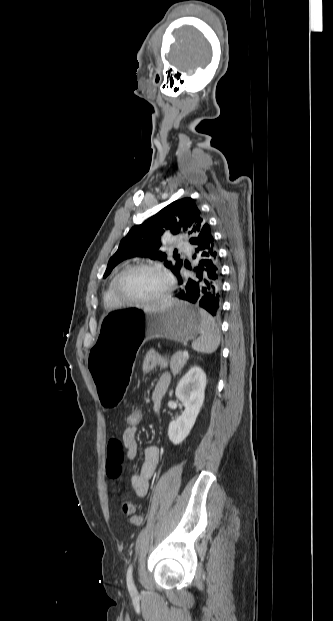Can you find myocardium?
<instances>
[{
    "instance_id": "obj_1",
    "label": "myocardium",
    "mask_w": 333,
    "mask_h": 621,
    "mask_svg": "<svg viewBox=\"0 0 333 621\" xmlns=\"http://www.w3.org/2000/svg\"><path fill=\"white\" fill-rule=\"evenodd\" d=\"M137 270H153L160 273L167 282L165 292L158 298L152 300H134L125 298L120 292V285L126 275ZM174 289V281L167 269L160 263L141 262L130 265L123 269L113 282V292L119 305L124 306H148L162 304L169 299Z\"/></svg>"
}]
</instances>
